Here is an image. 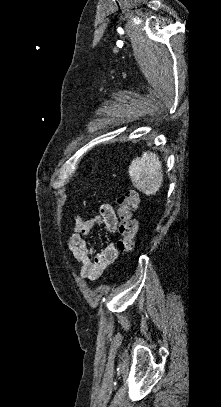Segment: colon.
Wrapping results in <instances>:
<instances>
[{"label": "colon", "mask_w": 221, "mask_h": 407, "mask_svg": "<svg viewBox=\"0 0 221 407\" xmlns=\"http://www.w3.org/2000/svg\"><path fill=\"white\" fill-rule=\"evenodd\" d=\"M140 202L139 195L135 190H129L126 194L117 199L118 223V249L123 253L133 250L137 233V223L134 212Z\"/></svg>", "instance_id": "obj_1"}]
</instances>
